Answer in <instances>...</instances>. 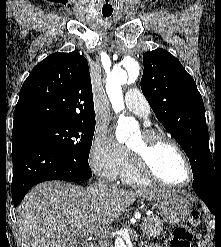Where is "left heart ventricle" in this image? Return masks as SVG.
<instances>
[{
    "label": "left heart ventricle",
    "instance_id": "1",
    "mask_svg": "<svg viewBox=\"0 0 221 247\" xmlns=\"http://www.w3.org/2000/svg\"><path fill=\"white\" fill-rule=\"evenodd\" d=\"M143 138L141 132L135 133L127 145L139 148ZM153 165L158 175L165 181L182 184L188 180V172L179 153L170 146L159 147L153 154Z\"/></svg>",
    "mask_w": 221,
    "mask_h": 247
}]
</instances>
